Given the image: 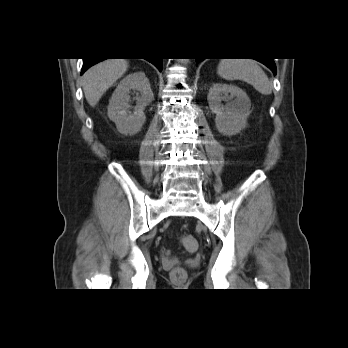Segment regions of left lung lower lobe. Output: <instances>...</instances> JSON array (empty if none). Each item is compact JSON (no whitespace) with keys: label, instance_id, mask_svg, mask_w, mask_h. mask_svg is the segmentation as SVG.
I'll use <instances>...</instances> for the list:
<instances>
[{"label":"left lung lower lobe","instance_id":"left-lung-lower-lobe-1","mask_svg":"<svg viewBox=\"0 0 348 348\" xmlns=\"http://www.w3.org/2000/svg\"><path fill=\"white\" fill-rule=\"evenodd\" d=\"M202 60L203 59H196V62L199 63ZM256 60H258V59H256ZM258 61L265 64L267 67H269L272 70V72L274 73V75L276 74V66H275L273 59H263V60H258Z\"/></svg>","mask_w":348,"mask_h":348}]
</instances>
